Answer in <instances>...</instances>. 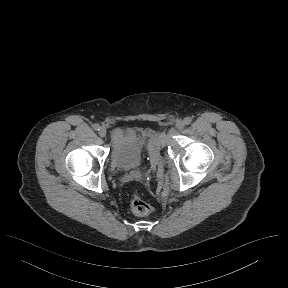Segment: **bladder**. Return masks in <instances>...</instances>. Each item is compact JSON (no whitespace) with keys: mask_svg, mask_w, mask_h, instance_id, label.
Returning a JSON list of instances; mask_svg holds the SVG:
<instances>
[{"mask_svg":"<svg viewBox=\"0 0 288 288\" xmlns=\"http://www.w3.org/2000/svg\"><path fill=\"white\" fill-rule=\"evenodd\" d=\"M160 147L152 130L115 129L110 136V165L119 171L135 170L144 160L155 159Z\"/></svg>","mask_w":288,"mask_h":288,"instance_id":"31cf9c89","label":"bladder"}]
</instances>
